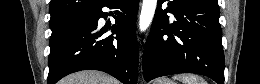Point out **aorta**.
<instances>
[{
  "label": "aorta",
  "mask_w": 260,
  "mask_h": 84,
  "mask_svg": "<svg viewBox=\"0 0 260 84\" xmlns=\"http://www.w3.org/2000/svg\"><path fill=\"white\" fill-rule=\"evenodd\" d=\"M157 6V0H143L139 19V28L145 31L152 22Z\"/></svg>",
  "instance_id": "1"
}]
</instances>
